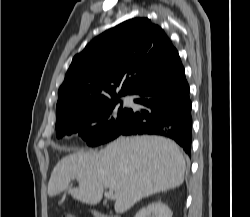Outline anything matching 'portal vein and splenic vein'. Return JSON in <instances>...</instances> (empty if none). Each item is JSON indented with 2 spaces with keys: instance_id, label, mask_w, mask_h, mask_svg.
I'll use <instances>...</instances> for the list:
<instances>
[{
  "instance_id": "1",
  "label": "portal vein and splenic vein",
  "mask_w": 250,
  "mask_h": 217,
  "mask_svg": "<svg viewBox=\"0 0 250 217\" xmlns=\"http://www.w3.org/2000/svg\"><path fill=\"white\" fill-rule=\"evenodd\" d=\"M104 196H105L107 199H111V200H113V199L116 198L115 195H114V193H113V190H112V189H109L108 192H105V193H104Z\"/></svg>"
}]
</instances>
